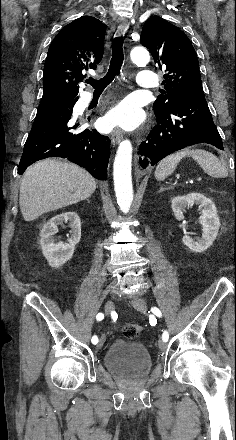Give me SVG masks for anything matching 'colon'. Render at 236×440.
<instances>
[{"label":"colon","instance_id":"1","mask_svg":"<svg viewBox=\"0 0 236 440\" xmlns=\"http://www.w3.org/2000/svg\"><path fill=\"white\" fill-rule=\"evenodd\" d=\"M142 331V326L129 323L123 327V334L130 339L137 337Z\"/></svg>","mask_w":236,"mask_h":440}]
</instances>
